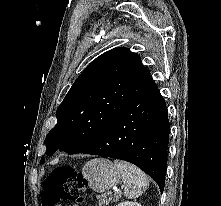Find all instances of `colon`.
Segmentation results:
<instances>
[{"mask_svg":"<svg viewBox=\"0 0 221 206\" xmlns=\"http://www.w3.org/2000/svg\"><path fill=\"white\" fill-rule=\"evenodd\" d=\"M84 184V177L73 167H57L45 181L42 202L44 206H53L63 201L78 200Z\"/></svg>","mask_w":221,"mask_h":206,"instance_id":"obj_1","label":"colon"}]
</instances>
